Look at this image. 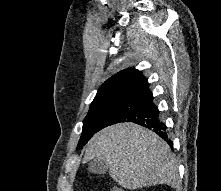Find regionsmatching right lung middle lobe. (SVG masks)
<instances>
[{"label": "right lung middle lobe", "mask_w": 221, "mask_h": 191, "mask_svg": "<svg viewBox=\"0 0 221 191\" xmlns=\"http://www.w3.org/2000/svg\"><path fill=\"white\" fill-rule=\"evenodd\" d=\"M119 100H112L90 106L89 112L83 121V131L77 149L83 147L88 140L100 130L104 119Z\"/></svg>", "instance_id": "dd1d6c3e"}]
</instances>
